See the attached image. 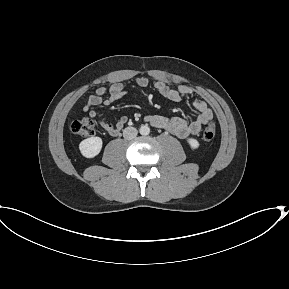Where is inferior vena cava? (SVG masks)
Instances as JSON below:
<instances>
[{
	"mask_svg": "<svg viewBox=\"0 0 289 289\" xmlns=\"http://www.w3.org/2000/svg\"><path fill=\"white\" fill-rule=\"evenodd\" d=\"M137 129L134 127H127L123 130V137L127 140H132L137 136Z\"/></svg>",
	"mask_w": 289,
	"mask_h": 289,
	"instance_id": "obj_1",
	"label": "inferior vena cava"
}]
</instances>
